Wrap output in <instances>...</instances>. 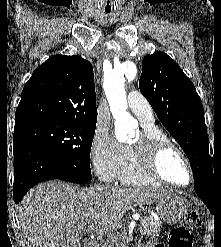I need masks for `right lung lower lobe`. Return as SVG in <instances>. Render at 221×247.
<instances>
[{"label": "right lung lower lobe", "instance_id": "98d812e1", "mask_svg": "<svg viewBox=\"0 0 221 247\" xmlns=\"http://www.w3.org/2000/svg\"><path fill=\"white\" fill-rule=\"evenodd\" d=\"M14 202L18 204L34 185L53 179L86 183L91 172L77 168L49 149L26 140H13Z\"/></svg>", "mask_w": 221, "mask_h": 247}]
</instances>
